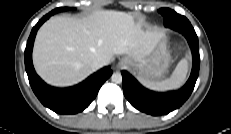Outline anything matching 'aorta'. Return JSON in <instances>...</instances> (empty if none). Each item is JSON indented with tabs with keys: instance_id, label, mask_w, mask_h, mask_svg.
Listing matches in <instances>:
<instances>
[{
	"instance_id": "762f6f07",
	"label": "aorta",
	"mask_w": 231,
	"mask_h": 134,
	"mask_svg": "<svg viewBox=\"0 0 231 134\" xmlns=\"http://www.w3.org/2000/svg\"><path fill=\"white\" fill-rule=\"evenodd\" d=\"M111 80L112 82L116 83V84H119L122 82V75L121 73H113L112 76H111Z\"/></svg>"
}]
</instances>
